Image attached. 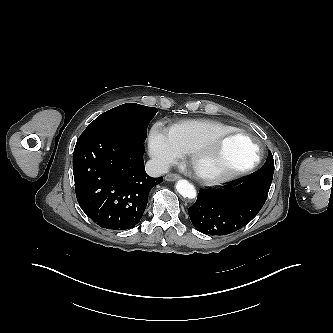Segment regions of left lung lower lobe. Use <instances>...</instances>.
Returning <instances> with one entry per match:
<instances>
[{
  "mask_svg": "<svg viewBox=\"0 0 333 333\" xmlns=\"http://www.w3.org/2000/svg\"><path fill=\"white\" fill-rule=\"evenodd\" d=\"M273 172L260 168L219 188L200 190L188 210L194 227L203 234L226 235L245 226L263 207Z\"/></svg>",
  "mask_w": 333,
  "mask_h": 333,
  "instance_id": "obj_1",
  "label": "left lung lower lobe"
}]
</instances>
